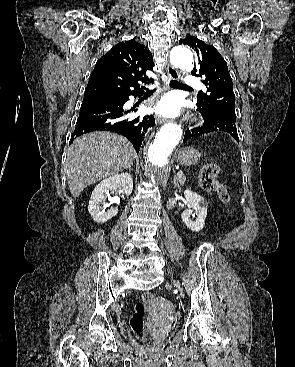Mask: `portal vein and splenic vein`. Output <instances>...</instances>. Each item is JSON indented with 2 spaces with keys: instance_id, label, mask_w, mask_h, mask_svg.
I'll use <instances>...</instances> for the list:
<instances>
[{
  "instance_id": "18ae733b",
  "label": "portal vein and splenic vein",
  "mask_w": 295,
  "mask_h": 367,
  "mask_svg": "<svg viewBox=\"0 0 295 367\" xmlns=\"http://www.w3.org/2000/svg\"><path fill=\"white\" fill-rule=\"evenodd\" d=\"M182 175H183L182 171L177 172V176H182Z\"/></svg>"
}]
</instances>
